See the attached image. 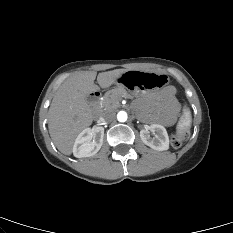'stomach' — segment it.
Listing matches in <instances>:
<instances>
[{
  "label": "stomach",
  "mask_w": 233,
  "mask_h": 233,
  "mask_svg": "<svg viewBox=\"0 0 233 233\" xmlns=\"http://www.w3.org/2000/svg\"><path fill=\"white\" fill-rule=\"evenodd\" d=\"M167 82L168 77L165 74L152 71H127L114 78V86L118 90L127 88L134 95L161 88Z\"/></svg>",
  "instance_id": "stomach-1"
}]
</instances>
